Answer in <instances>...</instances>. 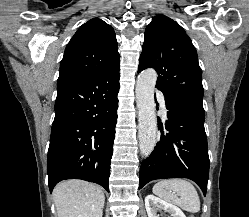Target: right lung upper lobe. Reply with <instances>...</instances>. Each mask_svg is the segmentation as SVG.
Listing matches in <instances>:
<instances>
[{"mask_svg":"<svg viewBox=\"0 0 249 217\" xmlns=\"http://www.w3.org/2000/svg\"><path fill=\"white\" fill-rule=\"evenodd\" d=\"M113 28L93 18L83 24L68 43L58 79L95 77L120 66Z\"/></svg>","mask_w":249,"mask_h":217,"instance_id":"cb5924a9","label":"right lung upper lobe"}]
</instances>
